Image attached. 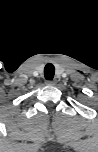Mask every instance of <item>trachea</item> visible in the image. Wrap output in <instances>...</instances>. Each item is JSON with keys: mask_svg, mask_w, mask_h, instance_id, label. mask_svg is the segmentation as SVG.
<instances>
[{"mask_svg": "<svg viewBox=\"0 0 98 152\" xmlns=\"http://www.w3.org/2000/svg\"><path fill=\"white\" fill-rule=\"evenodd\" d=\"M55 74V67L53 64L49 63L44 68V76L48 80H52Z\"/></svg>", "mask_w": 98, "mask_h": 152, "instance_id": "3493384b", "label": "trachea"}]
</instances>
